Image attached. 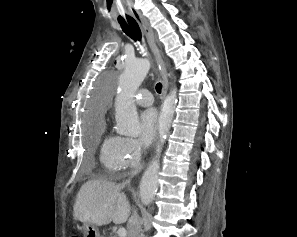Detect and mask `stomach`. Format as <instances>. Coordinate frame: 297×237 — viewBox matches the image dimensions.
<instances>
[{
    "mask_svg": "<svg viewBox=\"0 0 297 237\" xmlns=\"http://www.w3.org/2000/svg\"><path fill=\"white\" fill-rule=\"evenodd\" d=\"M84 237H101L98 227L91 223H84L82 227Z\"/></svg>",
    "mask_w": 297,
    "mask_h": 237,
    "instance_id": "1",
    "label": "stomach"
}]
</instances>
